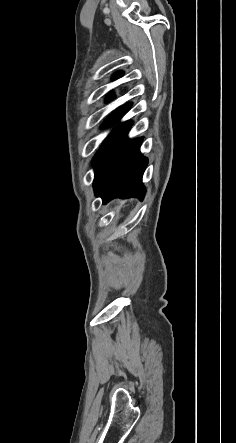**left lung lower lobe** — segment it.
Returning a JSON list of instances; mask_svg holds the SVG:
<instances>
[{
  "mask_svg": "<svg viewBox=\"0 0 236 443\" xmlns=\"http://www.w3.org/2000/svg\"><path fill=\"white\" fill-rule=\"evenodd\" d=\"M131 106L127 103L119 107L106 119L103 127L117 123ZM131 125L132 122L118 125L94 156L93 188L104 204L117 197L143 199L145 195L142 176L148 159L139 151L142 138L127 139Z\"/></svg>",
  "mask_w": 236,
  "mask_h": 443,
  "instance_id": "obj_1",
  "label": "left lung lower lobe"
}]
</instances>
